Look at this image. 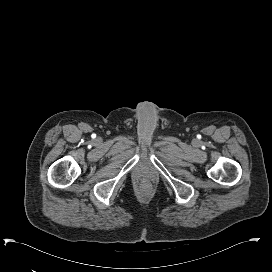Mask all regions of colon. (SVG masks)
Returning a JSON list of instances; mask_svg holds the SVG:
<instances>
[{"label": "colon", "instance_id": "1", "mask_svg": "<svg viewBox=\"0 0 272 272\" xmlns=\"http://www.w3.org/2000/svg\"><path fill=\"white\" fill-rule=\"evenodd\" d=\"M142 190H143L144 192H148V191L150 190V188H149V186H144V187L142 188Z\"/></svg>", "mask_w": 272, "mask_h": 272}]
</instances>
